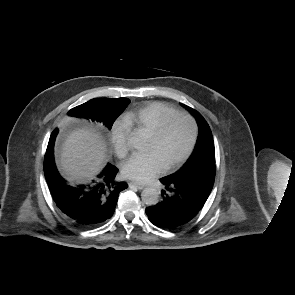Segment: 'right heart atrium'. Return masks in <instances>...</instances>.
Wrapping results in <instances>:
<instances>
[{"instance_id":"obj_1","label":"right heart atrium","mask_w":295,"mask_h":295,"mask_svg":"<svg viewBox=\"0 0 295 295\" xmlns=\"http://www.w3.org/2000/svg\"><path fill=\"white\" fill-rule=\"evenodd\" d=\"M129 128L120 121L113 124L110 132L111 143L118 157H125L128 153Z\"/></svg>"}]
</instances>
